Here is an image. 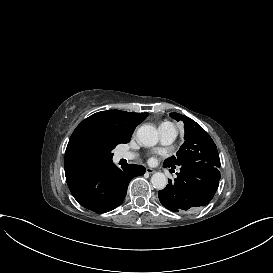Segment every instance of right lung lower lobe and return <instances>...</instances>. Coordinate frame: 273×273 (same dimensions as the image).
Masks as SVG:
<instances>
[{"label":"right lung lower lobe","instance_id":"1","mask_svg":"<svg viewBox=\"0 0 273 273\" xmlns=\"http://www.w3.org/2000/svg\"><path fill=\"white\" fill-rule=\"evenodd\" d=\"M144 173L145 168L141 165L131 164L120 170L111 161L88 172L68 187L80 205L96 213H105L123 202L131 179Z\"/></svg>","mask_w":273,"mask_h":273}]
</instances>
